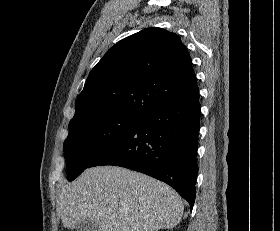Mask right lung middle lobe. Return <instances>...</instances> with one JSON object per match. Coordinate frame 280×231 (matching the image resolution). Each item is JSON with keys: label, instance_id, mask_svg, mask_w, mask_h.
Instances as JSON below:
<instances>
[{"label": "right lung middle lobe", "instance_id": "right-lung-middle-lobe-1", "mask_svg": "<svg viewBox=\"0 0 280 231\" xmlns=\"http://www.w3.org/2000/svg\"><path fill=\"white\" fill-rule=\"evenodd\" d=\"M140 117L110 116L78 118L69 123L63 150L67 180L78 177L94 160L122 138L139 122Z\"/></svg>", "mask_w": 280, "mask_h": 231}]
</instances>
